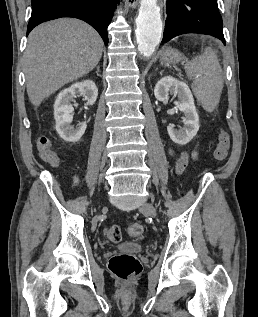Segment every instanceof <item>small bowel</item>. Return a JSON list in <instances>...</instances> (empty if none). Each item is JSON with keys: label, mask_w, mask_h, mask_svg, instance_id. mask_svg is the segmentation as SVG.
Masks as SVG:
<instances>
[{"label": "small bowel", "mask_w": 258, "mask_h": 317, "mask_svg": "<svg viewBox=\"0 0 258 317\" xmlns=\"http://www.w3.org/2000/svg\"><path fill=\"white\" fill-rule=\"evenodd\" d=\"M37 148L40 154L43 150L49 153L54 152L52 141L46 136H41L37 139ZM170 154L174 155V151L170 150ZM196 157H197L196 149L192 150L191 152H182L176 160V166H175L176 172L179 174L182 173L184 169L186 168V166L188 165L189 161L196 159ZM74 181L75 182L78 181L77 177L74 178Z\"/></svg>", "instance_id": "1"}]
</instances>
